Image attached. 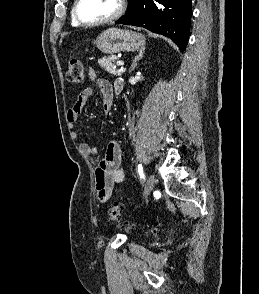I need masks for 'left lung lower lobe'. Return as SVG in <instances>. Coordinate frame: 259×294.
Listing matches in <instances>:
<instances>
[{
	"mask_svg": "<svg viewBox=\"0 0 259 294\" xmlns=\"http://www.w3.org/2000/svg\"><path fill=\"white\" fill-rule=\"evenodd\" d=\"M192 0H133L116 23L144 27L169 37L184 51L189 40Z\"/></svg>",
	"mask_w": 259,
	"mask_h": 294,
	"instance_id": "left-lung-lower-lobe-1",
	"label": "left lung lower lobe"
}]
</instances>
